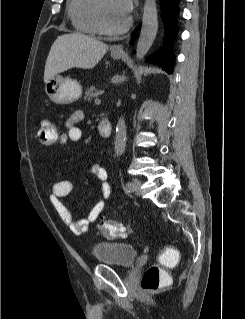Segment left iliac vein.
I'll list each match as a JSON object with an SVG mask.
<instances>
[{
  "label": "left iliac vein",
  "mask_w": 245,
  "mask_h": 319,
  "mask_svg": "<svg viewBox=\"0 0 245 319\" xmlns=\"http://www.w3.org/2000/svg\"><path fill=\"white\" fill-rule=\"evenodd\" d=\"M132 191L136 195H141V182L138 179H133L132 180Z\"/></svg>",
  "instance_id": "4c4485c4"
}]
</instances>
